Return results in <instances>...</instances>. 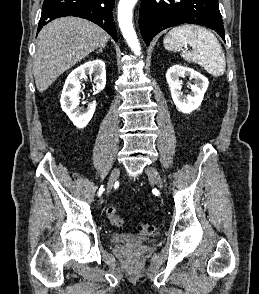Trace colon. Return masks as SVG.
Wrapping results in <instances>:
<instances>
[{
  "label": "colon",
  "instance_id": "5ec220e1",
  "mask_svg": "<svg viewBox=\"0 0 259 294\" xmlns=\"http://www.w3.org/2000/svg\"><path fill=\"white\" fill-rule=\"evenodd\" d=\"M106 214L110 223L116 227L123 226V220L118 214V211L114 207H109L106 210ZM158 228L152 223H142L137 229V234L139 236L147 237L152 236L157 232Z\"/></svg>",
  "mask_w": 259,
  "mask_h": 294
}]
</instances>
